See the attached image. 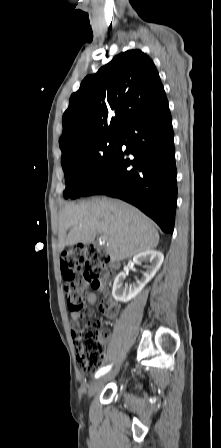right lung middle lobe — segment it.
Returning a JSON list of instances; mask_svg holds the SVG:
<instances>
[{
	"label": "right lung middle lobe",
	"instance_id": "1",
	"mask_svg": "<svg viewBox=\"0 0 221 448\" xmlns=\"http://www.w3.org/2000/svg\"><path fill=\"white\" fill-rule=\"evenodd\" d=\"M117 141L118 134L97 138L61 159L66 182L63 195L66 199H75L84 194L111 159Z\"/></svg>",
	"mask_w": 221,
	"mask_h": 448
}]
</instances>
